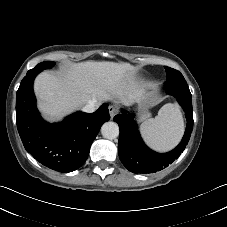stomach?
I'll use <instances>...</instances> for the list:
<instances>
[{
    "instance_id": "1",
    "label": "stomach",
    "mask_w": 227,
    "mask_h": 227,
    "mask_svg": "<svg viewBox=\"0 0 227 227\" xmlns=\"http://www.w3.org/2000/svg\"><path fill=\"white\" fill-rule=\"evenodd\" d=\"M144 98H145V96H142V100H143ZM142 116H143V118H144V117L149 116V114H148L147 112L144 111V114H143Z\"/></svg>"
}]
</instances>
